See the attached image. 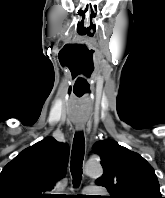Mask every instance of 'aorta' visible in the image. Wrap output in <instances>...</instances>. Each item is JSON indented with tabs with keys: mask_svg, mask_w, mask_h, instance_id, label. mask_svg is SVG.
<instances>
[{
	"mask_svg": "<svg viewBox=\"0 0 165 198\" xmlns=\"http://www.w3.org/2000/svg\"><path fill=\"white\" fill-rule=\"evenodd\" d=\"M84 172L89 176H100L103 173V169L99 163H87Z\"/></svg>",
	"mask_w": 165,
	"mask_h": 198,
	"instance_id": "1",
	"label": "aorta"
}]
</instances>
